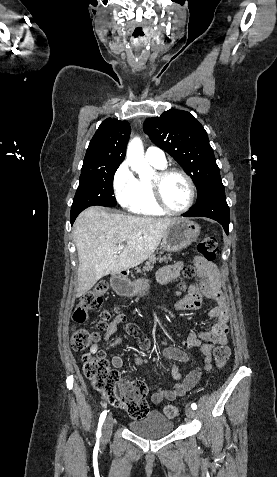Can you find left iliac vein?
Wrapping results in <instances>:
<instances>
[{
  "label": "left iliac vein",
  "instance_id": "1",
  "mask_svg": "<svg viewBox=\"0 0 277 477\" xmlns=\"http://www.w3.org/2000/svg\"><path fill=\"white\" fill-rule=\"evenodd\" d=\"M185 413L188 418H192L195 414L194 410L191 407H186Z\"/></svg>",
  "mask_w": 277,
  "mask_h": 477
}]
</instances>
